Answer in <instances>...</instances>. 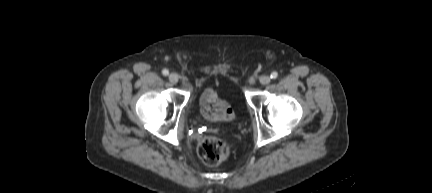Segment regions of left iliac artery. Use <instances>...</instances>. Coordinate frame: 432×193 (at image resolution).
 <instances>
[{
	"mask_svg": "<svg viewBox=\"0 0 432 193\" xmlns=\"http://www.w3.org/2000/svg\"><path fill=\"white\" fill-rule=\"evenodd\" d=\"M271 79H276L278 77V73L277 72H272L270 75Z\"/></svg>",
	"mask_w": 432,
	"mask_h": 193,
	"instance_id": "left-iliac-artery-1",
	"label": "left iliac artery"
}]
</instances>
